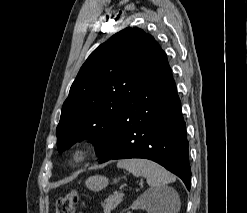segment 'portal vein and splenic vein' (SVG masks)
Returning <instances> with one entry per match:
<instances>
[{
  "label": "portal vein and splenic vein",
  "instance_id": "obj_1",
  "mask_svg": "<svg viewBox=\"0 0 247 213\" xmlns=\"http://www.w3.org/2000/svg\"><path fill=\"white\" fill-rule=\"evenodd\" d=\"M118 195L123 196V195H124V192H123V191H120V192L118 193Z\"/></svg>",
  "mask_w": 247,
  "mask_h": 213
}]
</instances>
